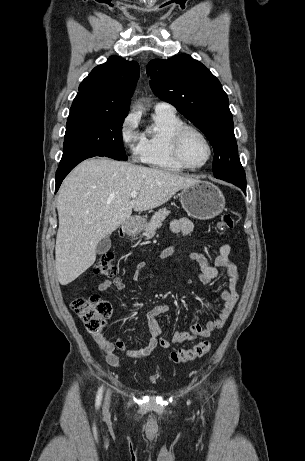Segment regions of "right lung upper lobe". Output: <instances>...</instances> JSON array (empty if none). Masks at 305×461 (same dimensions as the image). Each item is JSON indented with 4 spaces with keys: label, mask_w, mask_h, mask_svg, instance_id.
<instances>
[{
    "label": "right lung upper lobe",
    "mask_w": 305,
    "mask_h": 461,
    "mask_svg": "<svg viewBox=\"0 0 305 461\" xmlns=\"http://www.w3.org/2000/svg\"><path fill=\"white\" fill-rule=\"evenodd\" d=\"M139 78V65L111 56L82 81L70 110L126 115Z\"/></svg>",
    "instance_id": "right-lung-upper-lobe-1"
}]
</instances>
